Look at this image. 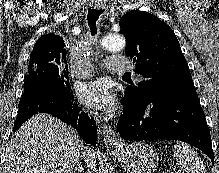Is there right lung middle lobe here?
<instances>
[{
  "label": "right lung middle lobe",
  "mask_w": 219,
  "mask_h": 173,
  "mask_svg": "<svg viewBox=\"0 0 219 173\" xmlns=\"http://www.w3.org/2000/svg\"><path fill=\"white\" fill-rule=\"evenodd\" d=\"M42 80L58 85L64 94L72 93L68 72L63 66L51 62L31 63L29 61L28 73L24 81V91L37 85Z\"/></svg>",
  "instance_id": "dd1d6c3e"
}]
</instances>
